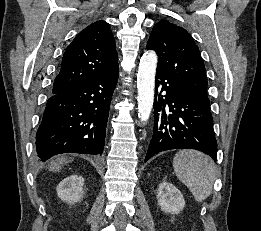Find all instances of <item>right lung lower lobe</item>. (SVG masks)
Wrapping results in <instances>:
<instances>
[{
    "instance_id": "obj_1",
    "label": "right lung lower lobe",
    "mask_w": 261,
    "mask_h": 231,
    "mask_svg": "<svg viewBox=\"0 0 261 231\" xmlns=\"http://www.w3.org/2000/svg\"><path fill=\"white\" fill-rule=\"evenodd\" d=\"M118 66L47 101L36 134L37 156L43 162L61 153L101 155Z\"/></svg>"
}]
</instances>
